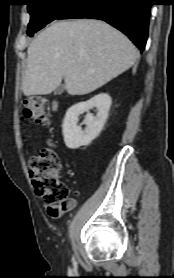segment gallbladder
<instances>
[{"mask_svg": "<svg viewBox=\"0 0 174 278\" xmlns=\"http://www.w3.org/2000/svg\"><path fill=\"white\" fill-rule=\"evenodd\" d=\"M65 90L64 85H59L55 90H54V94L55 95H61Z\"/></svg>", "mask_w": 174, "mask_h": 278, "instance_id": "obj_1", "label": "gallbladder"}]
</instances>
